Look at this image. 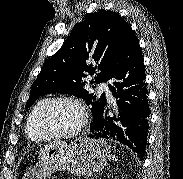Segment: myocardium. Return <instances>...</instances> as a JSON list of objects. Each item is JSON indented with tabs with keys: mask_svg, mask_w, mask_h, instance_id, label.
Masks as SVG:
<instances>
[{
	"mask_svg": "<svg viewBox=\"0 0 183 179\" xmlns=\"http://www.w3.org/2000/svg\"><path fill=\"white\" fill-rule=\"evenodd\" d=\"M58 102L72 103L79 108L80 113H81V119H80V122L77 125V127L66 133H51L48 130H46V128L44 126V119H45L47 112L54 104H56ZM87 123H88V111H87L85 104L80 99L73 97V96H57V97L49 99L42 107L41 111L39 112L38 118H37L38 130L45 138H50V139L72 138V137L78 135L85 128Z\"/></svg>",
	"mask_w": 183,
	"mask_h": 179,
	"instance_id": "f54148a6",
	"label": "myocardium"
}]
</instances>
